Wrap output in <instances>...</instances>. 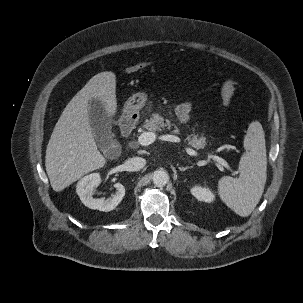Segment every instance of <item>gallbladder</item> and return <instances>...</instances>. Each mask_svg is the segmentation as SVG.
Wrapping results in <instances>:
<instances>
[{
	"mask_svg": "<svg viewBox=\"0 0 303 303\" xmlns=\"http://www.w3.org/2000/svg\"><path fill=\"white\" fill-rule=\"evenodd\" d=\"M91 126L93 128L94 136L103 149L105 141H111L113 134L111 132V119L105 113L102 104L97 100H91Z\"/></svg>",
	"mask_w": 303,
	"mask_h": 303,
	"instance_id": "bac80fb5",
	"label": "gallbladder"
}]
</instances>
